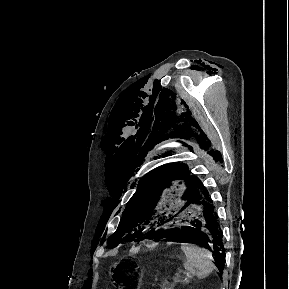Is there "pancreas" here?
<instances>
[{
    "mask_svg": "<svg viewBox=\"0 0 289 289\" xmlns=\"http://www.w3.org/2000/svg\"><path fill=\"white\" fill-rule=\"evenodd\" d=\"M161 289H174V284L163 285Z\"/></svg>",
    "mask_w": 289,
    "mask_h": 289,
    "instance_id": "pancreas-1",
    "label": "pancreas"
}]
</instances>
